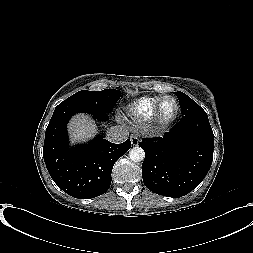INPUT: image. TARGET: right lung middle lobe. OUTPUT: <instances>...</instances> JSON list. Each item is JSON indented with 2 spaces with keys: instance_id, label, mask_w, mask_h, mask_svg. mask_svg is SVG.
<instances>
[{
  "instance_id": "right-lung-middle-lobe-1",
  "label": "right lung middle lobe",
  "mask_w": 253,
  "mask_h": 253,
  "mask_svg": "<svg viewBox=\"0 0 253 253\" xmlns=\"http://www.w3.org/2000/svg\"><path fill=\"white\" fill-rule=\"evenodd\" d=\"M120 98V91L105 89L102 91L82 90L70 96L59 105H80L100 113H110Z\"/></svg>"
}]
</instances>
